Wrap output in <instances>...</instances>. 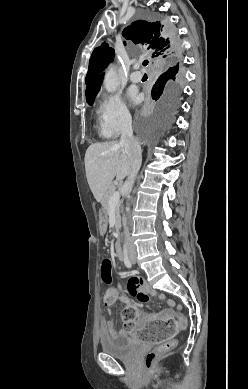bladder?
Wrapping results in <instances>:
<instances>
[{
    "label": "bladder",
    "mask_w": 248,
    "mask_h": 389,
    "mask_svg": "<svg viewBox=\"0 0 248 389\" xmlns=\"http://www.w3.org/2000/svg\"><path fill=\"white\" fill-rule=\"evenodd\" d=\"M99 347L102 353L119 359H129L138 350V343L120 334L101 336Z\"/></svg>",
    "instance_id": "31cf9c89"
}]
</instances>
